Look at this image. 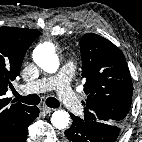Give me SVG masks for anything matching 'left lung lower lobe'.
<instances>
[{"label": "left lung lower lobe", "instance_id": "obj_1", "mask_svg": "<svg viewBox=\"0 0 142 142\" xmlns=\"http://www.w3.org/2000/svg\"><path fill=\"white\" fill-rule=\"evenodd\" d=\"M73 123L65 131L66 141L71 142H115L121 127L97 121H84L70 114Z\"/></svg>", "mask_w": 142, "mask_h": 142}]
</instances>
